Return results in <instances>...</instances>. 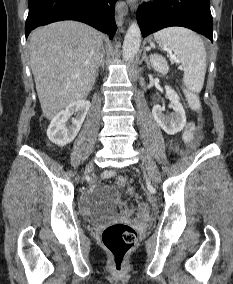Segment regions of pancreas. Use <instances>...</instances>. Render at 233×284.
I'll return each mask as SVG.
<instances>
[{"instance_id":"cf45deb5","label":"pancreas","mask_w":233,"mask_h":284,"mask_svg":"<svg viewBox=\"0 0 233 284\" xmlns=\"http://www.w3.org/2000/svg\"><path fill=\"white\" fill-rule=\"evenodd\" d=\"M152 65H153L155 70L162 72V73L166 72L167 69H168V66H167L165 59H163L160 56H153L152 57Z\"/></svg>"}]
</instances>
